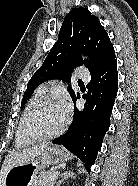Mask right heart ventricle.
Here are the masks:
<instances>
[{
  "mask_svg": "<svg viewBox=\"0 0 138 186\" xmlns=\"http://www.w3.org/2000/svg\"><path fill=\"white\" fill-rule=\"evenodd\" d=\"M45 94L46 91L44 90L43 87H40L36 93L34 94V96L31 98V100L29 101L27 107L25 108L21 119L19 121L17 130H16V137H15V143L17 147H26L29 146L30 144L33 143V141H30L28 139H26L23 134H22V130H21V124H22V118L25 115V113L37 102H39L40 100H42L43 98H45Z\"/></svg>",
  "mask_w": 138,
  "mask_h": 186,
  "instance_id": "1",
  "label": "right heart ventricle"
}]
</instances>
